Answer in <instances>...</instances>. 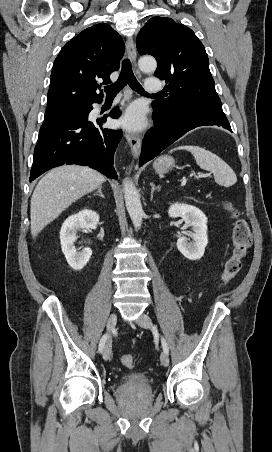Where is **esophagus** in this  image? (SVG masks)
Masks as SVG:
<instances>
[{"mask_svg": "<svg viewBox=\"0 0 272 452\" xmlns=\"http://www.w3.org/2000/svg\"><path fill=\"white\" fill-rule=\"evenodd\" d=\"M126 50L128 57L131 59V61L136 65V48L134 45V41L132 38H128L126 41ZM136 72L139 74V72L136 70ZM125 138L127 142L129 143L131 147V152L134 157H138L141 150V138L138 135L126 133Z\"/></svg>", "mask_w": 272, "mask_h": 452, "instance_id": "esophagus-1", "label": "esophagus"}]
</instances>
